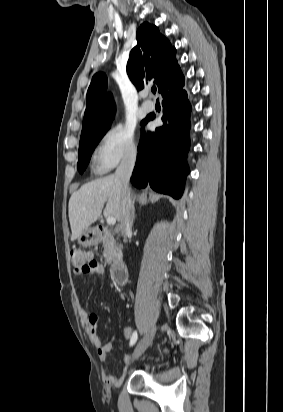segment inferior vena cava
I'll use <instances>...</instances> for the list:
<instances>
[{
  "label": "inferior vena cava",
  "instance_id": "inferior-vena-cava-1",
  "mask_svg": "<svg viewBox=\"0 0 283 412\" xmlns=\"http://www.w3.org/2000/svg\"><path fill=\"white\" fill-rule=\"evenodd\" d=\"M136 154V150L128 152L115 171V177L119 179L122 186L120 205L121 219L119 228L124 237L131 232L134 219V205L131 200L129 179L135 166Z\"/></svg>",
  "mask_w": 283,
  "mask_h": 412
}]
</instances>
